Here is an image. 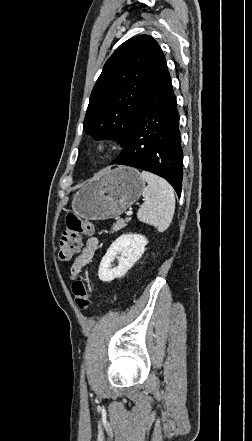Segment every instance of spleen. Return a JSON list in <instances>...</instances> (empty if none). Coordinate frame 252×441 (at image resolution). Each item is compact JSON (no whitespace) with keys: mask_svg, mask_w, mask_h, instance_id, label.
I'll use <instances>...</instances> for the list:
<instances>
[{"mask_svg":"<svg viewBox=\"0 0 252 441\" xmlns=\"http://www.w3.org/2000/svg\"><path fill=\"white\" fill-rule=\"evenodd\" d=\"M147 187L142 191L145 202L137 212V218L164 232L170 226L175 211V196L172 186L164 179L142 171Z\"/></svg>","mask_w":252,"mask_h":441,"instance_id":"3e777b00","label":"spleen"}]
</instances>
